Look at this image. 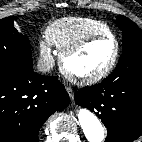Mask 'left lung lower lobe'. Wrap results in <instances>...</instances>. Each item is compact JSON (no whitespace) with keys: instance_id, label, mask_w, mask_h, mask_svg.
Segmentation results:
<instances>
[{"instance_id":"left-lung-lower-lobe-1","label":"left lung lower lobe","mask_w":142,"mask_h":142,"mask_svg":"<svg viewBox=\"0 0 142 142\" xmlns=\"http://www.w3.org/2000/svg\"><path fill=\"white\" fill-rule=\"evenodd\" d=\"M75 102L103 121L108 131L105 142H132L142 135V76L104 79L82 88Z\"/></svg>"}]
</instances>
